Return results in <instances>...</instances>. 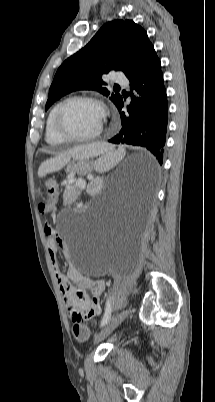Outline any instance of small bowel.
<instances>
[{
  "instance_id": "obj_1",
  "label": "small bowel",
  "mask_w": 215,
  "mask_h": 402,
  "mask_svg": "<svg viewBox=\"0 0 215 402\" xmlns=\"http://www.w3.org/2000/svg\"><path fill=\"white\" fill-rule=\"evenodd\" d=\"M44 233L47 237L48 254L55 268L58 285L70 316L74 320L98 316L101 313L100 298L106 288L105 281L84 276L75 267H70L67 274H63L58 267L57 254L59 249L65 252L66 244L56 229L48 223L44 226Z\"/></svg>"
}]
</instances>
